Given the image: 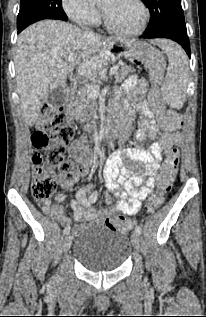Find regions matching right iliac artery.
Here are the masks:
<instances>
[{
    "instance_id": "82829eb1",
    "label": "right iliac artery",
    "mask_w": 206,
    "mask_h": 317,
    "mask_svg": "<svg viewBox=\"0 0 206 317\" xmlns=\"http://www.w3.org/2000/svg\"><path fill=\"white\" fill-rule=\"evenodd\" d=\"M70 232V226L65 227L63 233L64 235L68 234Z\"/></svg>"
}]
</instances>
